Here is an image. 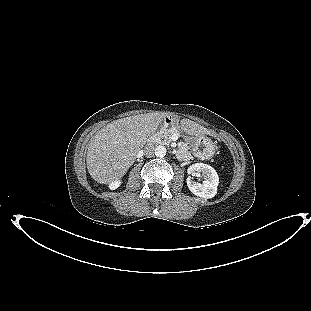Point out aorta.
<instances>
[{"instance_id":"762f6f07","label":"aorta","mask_w":311,"mask_h":311,"mask_svg":"<svg viewBox=\"0 0 311 311\" xmlns=\"http://www.w3.org/2000/svg\"><path fill=\"white\" fill-rule=\"evenodd\" d=\"M166 152H167L166 148L164 146H161V145L157 146L154 150L155 156L160 157V158L165 157Z\"/></svg>"}]
</instances>
